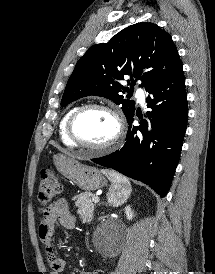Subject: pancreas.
<instances>
[{
  "mask_svg": "<svg viewBox=\"0 0 215 274\" xmlns=\"http://www.w3.org/2000/svg\"><path fill=\"white\" fill-rule=\"evenodd\" d=\"M93 195L90 192H83L75 197V205L82 219L86 222L92 220L95 210V204L92 201Z\"/></svg>",
  "mask_w": 215,
  "mask_h": 274,
  "instance_id": "obj_1",
  "label": "pancreas"
}]
</instances>
